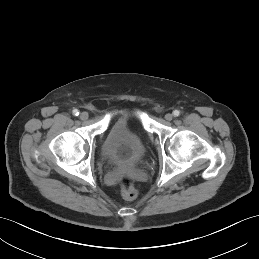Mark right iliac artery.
<instances>
[{
    "instance_id": "1",
    "label": "right iliac artery",
    "mask_w": 259,
    "mask_h": 259,
    "mask_svg": "<svg viewBox=\"0 0 259 259\" xmlns=\"http://www.w3.org/2000/svg\"><path fill=\"white\" fill-rule=\"evenodd\" d=\"M73 114H74L75 116H78V115H79V111H78L77 109H74V110H73Z\"/></svg>"
}]
</instances>
